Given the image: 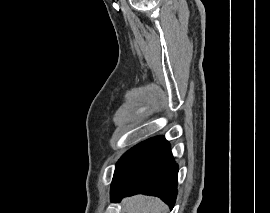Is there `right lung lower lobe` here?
I'll return each mask as SVG.
<instances>
[{
    "mask_svg": "<svg viewBox=\"0 0 270 213\" xmlns=\"http://www.w3.org/2000/svg\"><path fill=\"white\" fill-rule=\"evenodd\" d=\"M178 165L163 136L145 140L118 161L111 184V200L138 193L158 196L171 208L177 195Z\"/></svg>",
    "mask_w": 270,
    "mask_h": 213,
    "instance_id": "obj_1",
    "label": "right lung lower lobe"
}]
</instances>
